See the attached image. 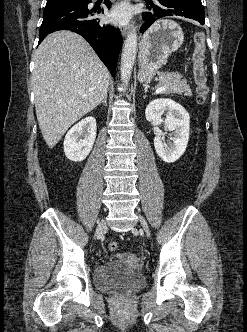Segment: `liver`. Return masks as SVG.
<instances>
[{
  "mask_svg": "<svg viewBox=\"0 0 247 332\" xmlns=\"http://www.w3.org/2000/svg\"><path fill=\"white\" fill-rule=\"evenodd\" d=\"M109 71L80 35L57 31L35 52L32 82L42 136L53 148L107 95Z\"/></svg>",
  "mask_w": 247,
  "mask_h": 332,
  "instance_id": "liver-1",
  "label": "liver"
}]
</instances>
